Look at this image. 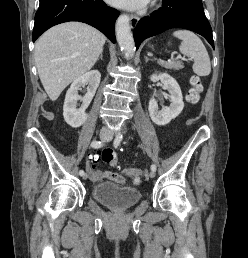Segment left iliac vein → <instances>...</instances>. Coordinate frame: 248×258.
I'll return each instance as SVG.
<instances>
[{"label": "left iliac vein", "instance_id": "1", "mask_svg": "<svg viewBox=\"0 0 248 258\" xmlns=\"http://www.w3.org/2000/svg\"><path fill=\"white\" fill-rule=\"evenodd\" d=\"M112 140V136H109L107 141H111ZM150 178H154L155 177V171H151L149 174Z\"/></svg>", "mask_w": 248, "mask_h": 258}]
</instances>
